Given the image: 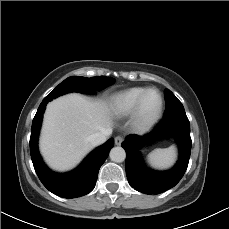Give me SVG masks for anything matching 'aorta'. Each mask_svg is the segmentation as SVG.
Segmentation results:
<instances>
[{
  "label": "aorta",
  "mask_w": 229,
  "mask_h": 229,
  "mask_svg": "<svg viewBox=\"0 0 229 229\" xmlns=\"http://www.w3.org/2000/svg\"><path fill=\"white\" fill-rule=\"evenodd\" d=\"M126 153L122 147H114L110 151V159L114 162L120 163L125 160Z\"/></svg>",
  "instance_id": "aorta-1"
}]
</instances>
